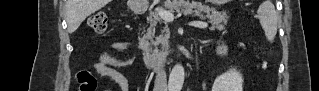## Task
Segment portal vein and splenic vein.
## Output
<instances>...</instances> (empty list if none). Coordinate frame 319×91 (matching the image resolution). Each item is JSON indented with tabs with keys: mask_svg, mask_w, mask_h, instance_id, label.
<instances>
[{
	"mask_svg": "<svg viewBox=\"0 0 319 91\" xmlns=\"http://www.w3.org/2000/svg\"><path fill=\"white\" fill-rule=\"evenodd\" d=\"M157 12L165 22H172L174 20V15L169 11L157 9ZM189 25L197 28H206L208 26V24L204 22H191Z\"/></svg>",
	"mask_w": 319,
	"mask_h": 91,
	"instance_id": "18ae733b",
	"label": "portal vein and splenic vein"
}]
</instances>
